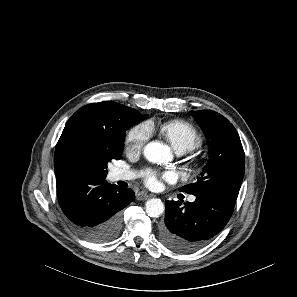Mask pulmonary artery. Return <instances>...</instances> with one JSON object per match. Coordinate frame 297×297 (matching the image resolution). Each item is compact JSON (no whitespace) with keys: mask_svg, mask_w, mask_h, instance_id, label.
Masks as SVG:
<instances>
[{"mask_svg":"<svg viewBox=\"0 0 297 297\" xmlns=\"http://www.w3.org/2000/svg\"><path fill=\"white\" fill-rule=\"evenodd\" d=\"M181 153V152H179ZM135 177V173L133 171L130 170H126V169H114L111 172V178L113 181H127V180H131ZM190 202H194L195 201V197L191 196L189 198Z\"/></svg>","mask_w":297,"mask_h":297,"instance_id":"e3ab8cb5","label":"pulmonary artery"}]
</instances>
